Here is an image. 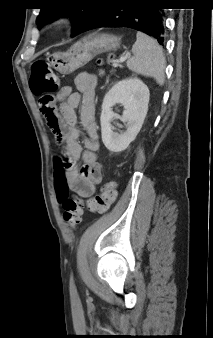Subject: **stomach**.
<instances>
[{
	"mask_svg": "<svg viewBox=\"0 0 213 338\" xmlns=\"http://www.w3.org/2000/svg\"><path fill=\"white\" fill-rule=\"evenodd\" d=\"M120 44V39L114 35L93 33L73 44L67 52L54 53L50 63L59 73L71 74L96 55L118 49Z\"/></svg>",
	"mask_w": 213,
	"mask_h": 338,
	"instance_id": "stomach-1",
	"label": "stomach"
}]
</instances>
